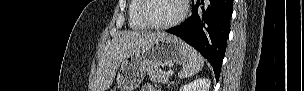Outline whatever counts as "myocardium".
I'll return each mask as SVG.
<instances>
[{
	"label": "myocardium",
	"instance_id": "1",
	"mask_svg": "<svg viewBox=\"0 0 304 91\" xmlns=\"http://www.w3.org/2000/svg\"><path fill=\"white\" fill-rule=\"evenodd\" d=\"M178 1L180 2V6H181L180 13L176 18H174L170 22H167L164 24H154V23L150 22L147 19L146 14H145L148 0H140L139 17H140L141 21L146 25L147 28L155 29V30H164V29L172 28V27L180 24L184 20V18L187 15V11H188L187 1L186 0H178Z\"/></svg>",
	"mask_w": 304,
	"mask_h": 91
}]
</instances>
